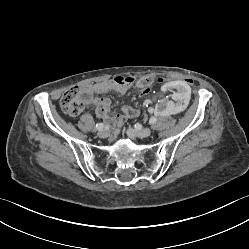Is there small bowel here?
<instances>
[{
	"mask_svg": "<svg viewBox=\"0 0 249 249\" xmlns=\"http://www.w3.org/2000/svg\"><path fill=\"white\" fill-rule=\"evenodd\" d=\"M153 79L154 78L152 77H141L135 80L132 77L115 76L108 80L85 85L81 88L84 93L85 107L95 112L99 118L103 119L112 128L113 136H117L120 133L122 125L128 119L136 117L139 114V111L124 105L119 114L112 116L110 114L111 100L106 97L95 98L93 95L107 92H115L118 95H123L132 86L141 90L142 94H145L144 91L152 84ZM149 105L150 101L144 103V106L147 107L150 112L151 106Z\"/></svg>",
	"mask_w": 249,
	"mask_h": 249,
	"instance_id": "small-bowel-1",
	"label": "small bowel"
}]
</instances>
